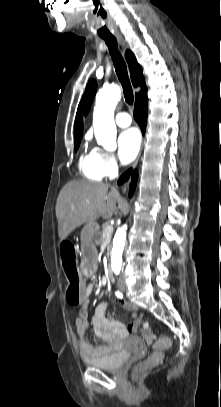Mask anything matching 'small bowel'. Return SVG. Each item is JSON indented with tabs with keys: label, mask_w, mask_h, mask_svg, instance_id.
Listing matches in <instances>:
<instances>
[{
	"label": "small bowel",
	"mask_w": 221,
	"mask_h": 407,
	"mask_svg": "<svg viewBox=\"0 0 221 407\" xmlns=\"http://www.w3.org/2000/svg\"><path fill=\"white\" fill-rule=\"evenodd\" d=\"M94 285L88 284L84 288V300L75 320L77 345L81 357L84 360L103 357L114 350L117 346L119 339L128 336L130 333H135L141 323V314L136 312L137 319L130 325H125L120 321L114 319L106 313L107 302L100 303L91 320H89L88 303L89 297L94 291ZM118 300L120 304L126 309H134L131 303L122 299ZM95 335L102 341L101 344L93 346L86 339V331L89 327Z\"/></svg>",
	"instance_id": "c3829d8e"
}]
</instances>
